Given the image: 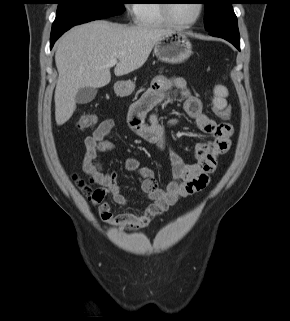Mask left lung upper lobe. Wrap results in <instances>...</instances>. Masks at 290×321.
<instances>
[{
    "instance_id": "obj_1",
    "label": "left lung upper lobe",
    "mask_w": 290,
    "mask_h": 321,
    "mask_svg": "<svg viewBox=\"0 0 290 321\" xmlns=\"http://www.w3.org/2000/svg\"><path fill=\"white\" fill-rule=\"evenodd\" d=\"M205 4V29L208 32L222 29L237 23V17L233 11L234 0H202Z\"/></svg>"
}]
</instances>
